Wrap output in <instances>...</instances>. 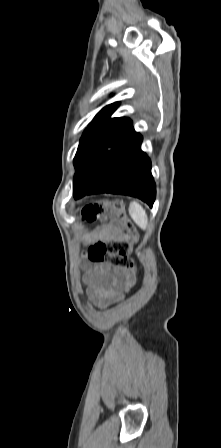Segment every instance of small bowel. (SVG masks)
<instances>
[{"label":"small bowel","instance_id":"1","mask_svg":"<svg viewBox=\"0 0 221 448\" xmlns=\"http://www.w3.org/2000/svg\"><path fill=\"white\" fill-rule=\"evenodd\" d=\"M109 231L101 234L113 241H124L127 236L120 227L109 224ZM90 295L96 305L105 307L121 300L135 284L136 277L129 270L110 264H92L86 273Z\"/></svg>","mask_w":221,"mask_h":448}]
</instances>
